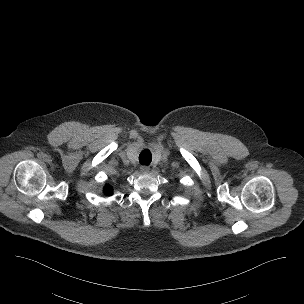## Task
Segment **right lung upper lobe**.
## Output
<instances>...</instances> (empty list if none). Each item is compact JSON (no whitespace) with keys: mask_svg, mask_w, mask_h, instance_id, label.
I'll list each match as a JSON object with an SVG mask.
<instances>
[{"mask_svg":"<svg viewBox=\"0 0 304 304\" xmlns=\"http://www.w3.org/2000/svg\"><path fill=\"white\" fill-rule=\"evenodd\" d=\"M104 193L106 195H112V188L110 186H106L105 189H104Z\"/></svg>","mask_w":304,"mask_h":304,"instance_id":"obj_1","label":"right lung upper lobe"}]
</instances>
